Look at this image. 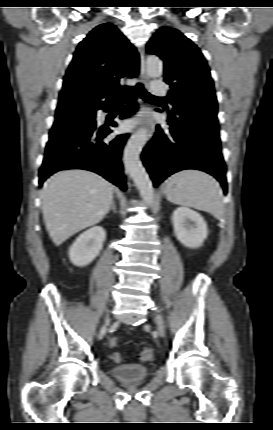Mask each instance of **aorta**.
Listing matches in <instances>:
<instances>
[{
    "mask_svg": "<svg viewBox=\"0 0 273 430\" xmlns=\"http://www.w3.org/2000/svg\"><path fill=\"white\" fill-rule=\"evenodd\" d=\"M146 66L151 77H160L163 73V62L157 56H149L146 60ZM147 138L146 128H140L135 132L125 146L123 160L126 172L133 179L140 196L147 204L153 205L155 192L152 181L140 160V153Z\"/></svg>",
    "mask_w": 273,
    "mask_h": 430,
    "instance_id": "obj_1",
    "label": "aorta"
}]
</instances>
